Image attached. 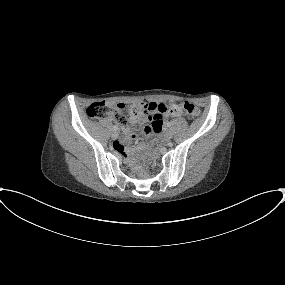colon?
I'll return each instance as SVG.
<instances>
[{
    "label": "colon",
    "mask_w": 285,
    "mask_h": 285,
    "mask_svg": "<svg viewBox=\"0 0 285 285\" xmlns=\"http://www.w3.org/2000/svg\"><path fill=\"white\" fill-rule=\"evenodd\" d=\"M86 113L90 118L111 119L119 125H126L129 118L146 115L147 107L142 103L126 107L122 103L94 102L87 107ZM181 113L193 117L197 115L198 111L197 108L188 101L178 104L173 103L166 105L163 117H173ZM147 170L148 169L143 167L136 168V172L140 177L145 176Z\"/></svg>",
    "instance_id": "obj_1"
}]
</instances>
